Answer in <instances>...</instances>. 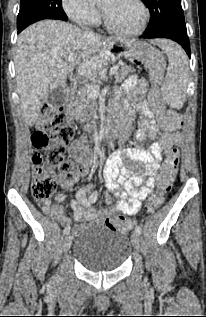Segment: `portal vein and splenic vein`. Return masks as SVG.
<instances>
[{"label": "portal vein and splenic vein", "instance_id": "1", "mask_svg": "<svg viewBox=\"0 0 206 317\" xmlns=\"http://www.w3.org/2000/svg\"><path fill=\"white\" fill-rule=\"evenodd\" d=\"M76 59H77V55L73 52L69 53L67 56V60L70 63L75 62ZM90 66H91V63H82V69H84V70L89 69ZM118 68H119L118 65H114L110 70V73H109L110 76H113L116 73V71L118 70ZM86 91L90 96L96 97L99 94L100 88L97 85H89V86H87Z\"/></svg>", "mask_w": 206, "mask_h": 317}]
</instances>
